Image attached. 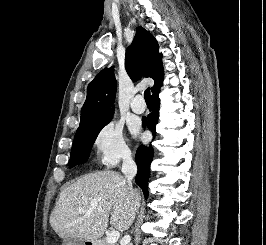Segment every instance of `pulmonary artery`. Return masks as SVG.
Instances as JSON below:
<instances>
[{
	"instance_id": "pulmonary-artery-1",
	"label": "pulmonary artery",
	"mask_w": 266,
	"mask_h": 245,
	"mask_svg": "<svg viewBox=\"0 0 266 245\" xmlns=\"http://www.w3.org/2000/svg\"><path fill=\"white\" fill-rule=\"evenodd\" d=\"M143 96L142 95H136L134 99L131 101V109L133 112L137 114H141L145 111L146 106L144 104V101L142 100Z\"/></svg>"
}]
</instances>
